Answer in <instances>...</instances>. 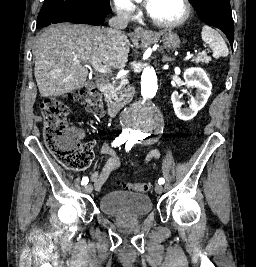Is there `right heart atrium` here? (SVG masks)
I'll use <instances>...</instances> for the list:
<instances>
[{
  "mask_svg": "<svg viewBox=\"0 0 256 267\" xmlns=\"http://www.w3.org/2000/svg\"><path fill=\"white\" fill-rule=\"evenodd\" d=\"M138 12L135 11V12H127L125 13V17L126 18H132L133 16H137Z\"/></svg>",
  "mask_w": 256,
  "mask_h": 267,
  "instance_id": "d8ad5b80",
  "label": "right heart atrium"
}]
</instances>
